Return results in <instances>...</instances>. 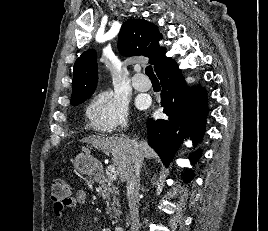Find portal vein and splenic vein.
<instances>
[{"mask_svg":"<svg viewBox=\"0 0 268 231\" xmlns=\"http://www.w3.org/2000/svg\"><path fill=\"white\" fill-rule=\"evenodd\" d=\"M106 175L110 181H115L117 179L116 168L114 165L110 164L107 166Z\"/></svg>","mask_w":268,"mask_h":231,"instance_id":"portal-vein-and-splenic-vein-1","label":"portal vein and splenic vein"}]
</instances>
